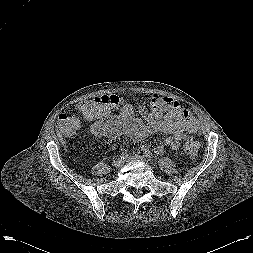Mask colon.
Returning a JSON list of instances; mask_svg holds the SVG:
<instances>
[{
    "label": "colon",
    "instance_id": "colon-1",
    "mask_svg": "<svg viewBox=\"0 0 253 253\" xmlns=\"http://www.w3.org/2000/svg\"><path fill=\"white\" fill-rule=\"evenodd\" d=\"M127 103L119 96L114 94L99 95L89 100L79 103L74 112L61 114L58 117L59 128L66 136H73L77 133L80 125V119L91 120L98 118L111 109L123 107ZM143 114L147 118H169L178 121L185 129L192 130L197 127V120L187 109L181 108L180 104L170 98L159 95H153L148 102V108L141 107ZM200 142L188 138L184 143V152L192 159H195L199 149Z\"/></svg>",
    "mask_w": 253,
    "mask_h": 253
}]
</instances>
